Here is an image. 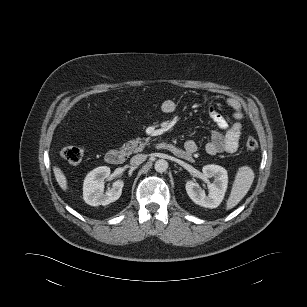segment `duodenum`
Listing matches in <instances>:
<instances>
[{"label": "duodenum", "mask_w": 307, "mask_h": 307, "mask_svg": "<svg viewBox=\"0 0 307 307\" xmlns=\"http://www.w3.org/2000/svg\"><path fill=\"white\" fill-rule=\"evenodd\" d=\"M157 149L175 153V146L169 143H165V142L158 143ZM105 160L110 165L117 166L123 163L124 155L121 151L117 149H110L109 151H107L105 155Z\"/></svg>", "instance_id": "410a0bca"}]
</instances>
